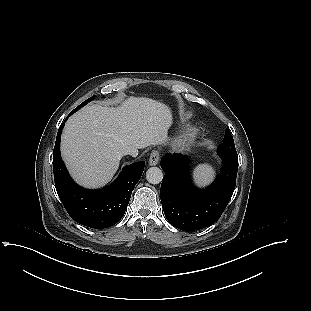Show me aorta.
<instances>
[{"label": "aorta", "instance_id": "aorta-1", "mask_svg": "<svg viewBox=\"0 0 311 311\" xmlns=\"http://www.w3.org/2000/svg\"><path fill=\"white\" fill-rule=\"evenodd\" d=\"M146 179L151 184H159L163 179V172L158 167H151L146 172Z\"/></svg>", "mask_w": 311, "mask_h": 311}]
</instances>
